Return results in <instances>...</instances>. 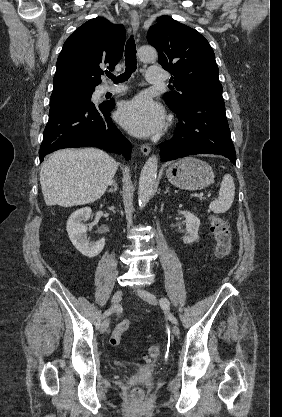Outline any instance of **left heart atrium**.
Wrapping results in <instances>:
<instances>
[{
  "label": "left heart atrium",
  "instance_id": "obj_1",
  "mask_svg": "<svg viewBox=\"0 0 282 417\" xmlns=\"http://www.w3.org/2000/svg\"><path fill=\"white\" fill-rule=\"evenodd\" d=\"M120 122L136 134H151L163 126L162 108L146 96H138L122 105L119 110Z\"/></svg>",
  "mask_w": 282,
  "mask_h": 417
}]
</instances>
